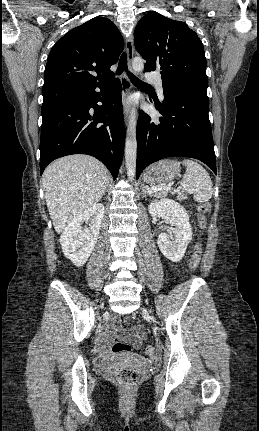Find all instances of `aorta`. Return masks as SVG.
I'll list each match as a JSON object with an SVG mask.
<instances>
[{"instance_id":"obj_1","label":"aorta","mask_w":259,"mask_h":431,"mask_svg":"<svg viewBox=\"0 0 259 431\" xmlns=\"http://www.w3.org/2000/svg\"><path fill=\"white\" fill-rule=\"evenodd\" d=\"M132 69L135 73H139L144 69V61L141 57H135L132 62ZM136 109L133 107L130 112L127 137L125 143V161L127 168V176L129 180H133L136 173Z\"/></svg>"}]
</instances>
